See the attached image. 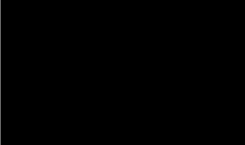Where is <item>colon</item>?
Returning <instances> with one entry per match:
<instances>
[{"label": "colon", "mask_w": 245, "mask_h": 145, "mask_svg": "<svg viewBox=\"0 0 245 145\" xmlns=\"http://www.w3.org/2000/svg\"><path fill=\"white\" fill-rule=\"evenodd\" d=\"M212 75V62L211 59L206 56L203 58L197 68V71L194 74L196 82L202 86H205L209 83Z\"/></svg>", "instance_id": "obj_1"}]
</instances>
